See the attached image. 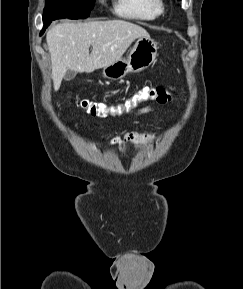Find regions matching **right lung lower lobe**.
Here are the masks:
<instances>
[{
  "label": "right lung lower lobe",
  "instance_id": "right-lung-lower-lobe-1",
  "mask_svg": "<svg viewBox=\"0 0 243 289\" xmlns=\"http://www.w3.org/2000/svg\"><path fill=\"white\" fill-rule=\"evenodd\" d=\"M53 21V20H52ZM51 20H43V23H44V27L40 33V35H42L45 31V29L47 28V26L52 22Z\"/></svg>",
  "mask_w": 243,
  "mask_h": 289
}]
</instances>
